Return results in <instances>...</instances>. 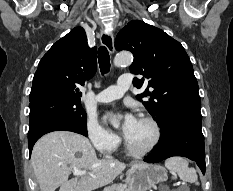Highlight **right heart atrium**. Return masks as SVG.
Listing matches in <instances>:
<instances>
[{"instance_id":"obj_1","label":"right heart atrium","mask_w":233,"mask_h":191,"mask_svg":"<svg viewBox=\"0 0 233 191\" xmlns=\"http://www.w3.org/2000/svg\"><path fill=\"white\" fill-rule=\"evenodd\" d=\"M87 130L92 144L98 151L107 153L118 147L119 137L102 127L96 120L88 121Z\"/></svg>"}]
</instances>
